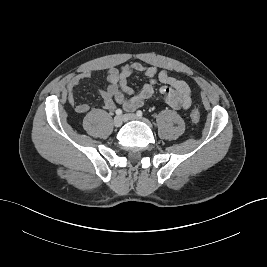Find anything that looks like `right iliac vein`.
<instances>
[{
	"instance_id": "1",
	"label": "right iliac vein",
	"mask_w": 267,
	"mask_h": 267,
	"mask_svg": "<svg viewBox=\"0 0 267 267\" xmlns=\"http://www.w3.org/2000/svg\"><path fill=\"white\" fill-rule=\"evenodd\" d=\"M123 123V117L122 116H116L113 120V124L115 127H120Z\"/></svg>"
}]
</instances>
